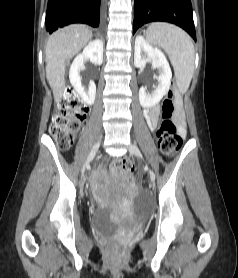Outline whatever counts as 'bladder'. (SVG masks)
<instances>
[{
    "label": "bladder",
    "instance_id": "31cf9c89",
    "mask_svg": "<svg viewBox=\"0 0 238 278\" xmlns=\"http://www.w3.org/2000/svg\"><path fill=\"white\" fill-rule=\"evenodd\" d=\"M91 228L100 234H110L117 228V224L111 220L106 210H98L90 218Z\"/></svg>",
    "mask_w": 238,
    "mask_h": 278
}]
</instances>
